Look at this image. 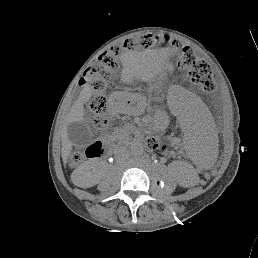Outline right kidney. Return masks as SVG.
Returning <instances> with one entry per match:
<instances>
[{"instance_id":"obj_1","label":"right kidney","mask_w":258,"mask_h":258,"mask_svg":"<svg viewBox=\"0 0 258 258\" xmlns=\"http://www.w3.org/2000/svg\"><path fill=\"white\" fill-rule=\"evenodd\" d=\"M72 181L74 184L81 186V183H88V186H93L97 183V178H95L87 167H81L73 172Z\"/></svg>"}]
</instances>
